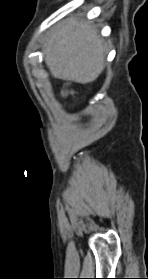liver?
<instances>
[{
    "label": "liver",
    "instance_id": "1",
    "mask_svg": "<svg viewBox=\"0 0 148 279\" xmlns=\"http://www.w3.org/2000/svg\"><path fill=\"white\" fill-rule=\"evenodd\" d=\"M44 53L50 73L62 80L91 83L105 67L103 41L97 31L83 21L62 22L52 31Z\"/></svg>",
    "mask_w": 148,
    "mask_h": 279
}]
</instances>
